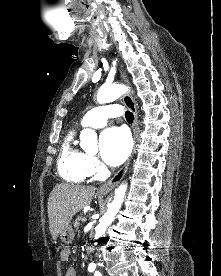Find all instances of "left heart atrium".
<instances>
[{"label":"left heart atrium","mask_w":221,"mask_h":276,"mask_svg":"<svg viewBox=\"0 0 221 276\" xmlns=\"http://www.w3.org/2000/svg\"><path fill=\"white\" fill-rule=\"evenodd\" d=\"M131 151V140L126 130L118 127L105 130L100 137V154L111 166L123 163Z\"/></svg>","instance_id":"obj_1"}]
</instances>
